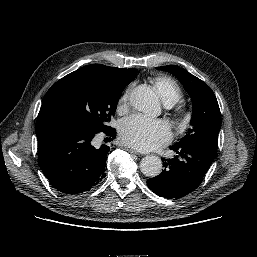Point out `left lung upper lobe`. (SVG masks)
Returning <instances> with one entry per match:
<instances>
[{"label":"left lung upper lobe","instance_id":"obj_1","mask_svg":"<svg viewBox=\"0 0 257 257\" xmlns=\"http://www.w3.org/2000/svg\"><path fill=\"white\" fill-rule=\"evenodd\" d=\"M172 73L187 89L193 102L191 128L175 144L202 143L217 149L221 127L220 109L211 88L185 69L175 65L157 67Z\"/></svg>","mask_w":257,"mask_h":257}]
</instances>
